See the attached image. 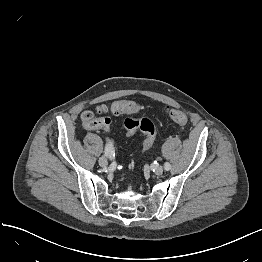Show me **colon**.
<instances>
[{"instance_id": "1", "label": "colon", "mask_w": 262, "mask_h": 262, "mask_svg": "<svg viewBox=\"0 0 262 262\" xmlns=\"http://www.w3.org/2000/svg\"><path fill=\"white\" fill-rule=\"evenodd\" d=\"M109 110L114 115H126L123 126L127 137L134 135L137 131H141L144 134V151L149 150L153 146L156 138V127L150 119L138 116V113L141 111V106L134 101L117 100L111 104ZM167 114L181 130L186 128L187 115L183 111L168 108ZM81 121L83 126L90 130L104 128L109 126L111 122L110 118L105 116L95 117L91 111L83 112Z\"/></svg>"}]
</instances>
